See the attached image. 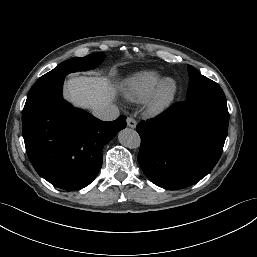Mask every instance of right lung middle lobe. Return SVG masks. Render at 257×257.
Segmentation results:
<instances>
[{
    "label": "right lung middle lobe",
    "instance_id": "dd1d6c3e",
    "mask_svg": "<svg viewBox=\"0 0 257 257\" xmlns=\"http://www.w3.org/2000/svg\"><path fill=\"white\" fill-rule=\"evenodd\" d=\"M105 57L106 55L103 53H94L86 57L66 60L50 72L40 77L39 80L52 79L60 75H66L71 72L93 69L101 64Z\"/></svg>",
    "mask_w": 257,
    "mask_h": 257
}]
</instances>
